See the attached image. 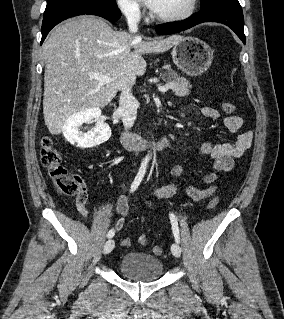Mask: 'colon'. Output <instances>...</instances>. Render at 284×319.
I'll use <instances>...</instances> for the list:
<instances>
[{
    "instance_id": "colon-1",
    "label": "colon",
    "mask_w": 284,
    "mask_h": 319,
    "mask_svg": "<svg viewBox=\"0 0 284 319\" xmlns=\"http://www.w3.org/2000/svg\"><path fill=\"white\" fill-rule=\"evenodd\" d=\"M222 109L227 114H232L235 111L234 104L224 102ZM40 159L42 165L47 169L48 174L53 182L56 191L63 196H74L79 193L82 187V180L79 176L68 172L62 164L61 154L56 149L53 141L49 137H42L40 142ZM219 202L217 196L213 197L208 204L209 209H214ZM138 242L141 245L147 243V236L142 234L138 237ZM131 240L125 238L122 240V246H130ZM153 253L156 255L162 254L160 246L153 247Z\"/></svg>"
}]
</instances>
